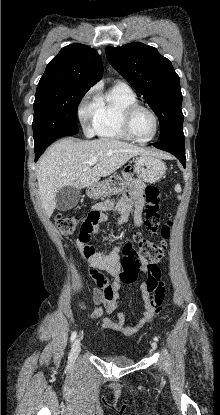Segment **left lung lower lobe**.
I'll use <instances>...</instances> for the list:
<instances>
[{
    "mask_svg": "<svg viewBox=\"0 0 220 415\" xmlns=\"http://www.w3.org/2000/svg\"><path fill=\"white\" fill-rule=\"evenodd\" d=\"M158 149L167 151L176 156L182 165H186L185 147H184V134L174 138L160 141L159 143L152 144Z\"/></svg>",
    "mask_w": 220,
    "mask_h": 415,
    "instance_id": "0a47b994",
    "label": "left lung lower lobe"
}]
</instances>
